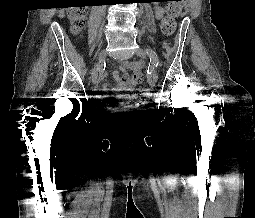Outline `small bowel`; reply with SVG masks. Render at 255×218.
Listing matches in <instances>:
<instances>
[{"label":"small bowel","mask_w":255,"mask_h":218,"mask_svg":"<svg viewBox=\"0 0 255 218\" xmlns=\"http://www.w3.org/2000/svg\"><path fill=\"white\" fill-rule=\"evenodd\" d=\"M155 14L157 19H161L164 15V11L161 7L155 8ZM142 64L140 62L128 63L125 61L120 62L118 69L113 73L116 80V84L113 87L115 92H124L133 90L138 83L143 79ZM128 70L132 71V75L127 73ZM103 88L107 89V84H103ZM101 101L106 103L108 101L106 96H101Z\"/></svg>","instance_id":"c3829d8e"}]
</instances>
